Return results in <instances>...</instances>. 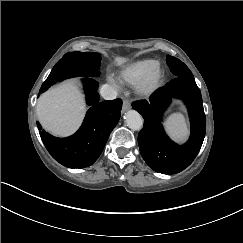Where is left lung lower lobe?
Instances as JSON below:
<instances>
[{"label":"left lung lower lobe","mask_w":243,"mask_h":243,"mask_svg":"<svg viewBox=\"0 0 243 243\" xmlns=\"http://www.w3.org/2000/svg\"><path fill=\"white\" fill-rule=\"evenodd\" d=\"M173 97L185 102L190 115L191 136L184 145L171 141L161 124L163 111ZM132 107L145 120L138 144L147 165L163 174H175L187 168L197 156L206 132L201 92L194 78L176 77L156 90L149 101H135Z\"/></svg>","instance_id":"left-lung-lower-lobe-1"}]
</instances>
